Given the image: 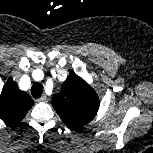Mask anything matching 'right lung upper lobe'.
Returning <instances> with one entry per match:
<instances>
[{"instance_id":"cb5924a9","label":"right lung upper lobe","mask_w":153,"mask_h":153,"mask_svg":"<svg viewBox=\"0 0 153 153\" xmlns=\"http://www.w3.org/2000/svg\"><path fill=\"white\" fill-rule=\"evenodd\" d=\"M32 105L33 100L29 94L18 89L10 78L0 95V118L9 125H15L22 121Z\"/></svg>"}]
</instances>
